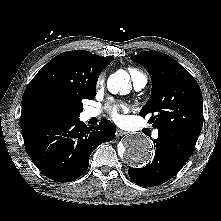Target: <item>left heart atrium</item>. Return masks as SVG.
I'll return each instance as SVG.
<instances>
[{
  "mask_svg": "<svg viewBox=\"0 0 221 221\" xmlns=\"http://www.w3.org/2000/svg\"><path fill=\"white\" fill-rule=\"evenodd\" d=\"M107 108H108V112H109L110 116L112 117V119L114 121L118 122V121H120L119 112L121 110H125L126 106L122 103L111 102V103L108 104Z\"/></svg>",
  "mask_w": 221,
  "mask_h": 221,
  "instance_id": "39dd6f15",
  "label": "left heart atrium"
}]
</instances>
